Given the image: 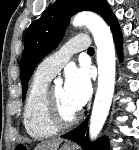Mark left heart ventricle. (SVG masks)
Returning <instances> with one entry per match:
<instances>
[{
	"label": "left heart ventricle",
	"mask_w": 139,
	"mask_h": 150,
	"mask_svg": "<svg viewBox=\"0 0 139 150\" xmlns=\"http://www.w3.org/2000/svg\"><path fill=\"white\" fill-rule=\"evenodd\" d=\"M53 95L62 118L68 120L78 111L68 100L63 86H54Z\"/></svg>",
	"instance_id": "1"
}]
</instances>
